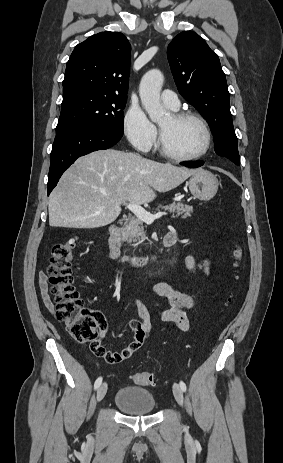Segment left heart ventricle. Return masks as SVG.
Instances as JSON below:
<instances>
[{"mask_svg":"<svg viewBox=\"0 0 283 463\" xmlns=\"http://www.w3.org/2000/svg\"><path fill=\"white\" fill-rule=\"evenodd\" d=\"M158 125L163 144L170 152L180 156H191L202 150L205 133L196 120L174 121L169 115Z\"/></svg>","mask_w":283,"mask_h":463,"instance_id":"left-heart-ventricle-1","label":"left heart ventricle"}]
</instances>
